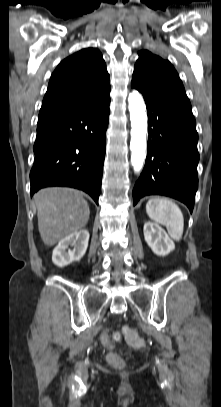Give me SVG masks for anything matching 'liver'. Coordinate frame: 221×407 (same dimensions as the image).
<instances>
[{
	"label": "liver",
	"mask_w": 221,
	"mask_h": 407,
	"mask_svg": "<svg viewBox=\"0 0 221 407\" xmlns=\"http://www.w3.org/2000/svg\"><path fill=\"white\" fill-rule=\"evenodd\" d=\"M35 203L38 230L47 246L81 230L89 219V205L82 194L74 189H42L35 195Z\"/></svg>",
	"instance_id": "1"
}]
</instances>
